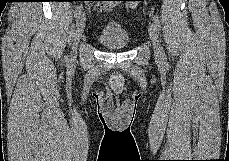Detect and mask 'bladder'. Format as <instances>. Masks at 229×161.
I'll list each match as a JSON object with an SVG mask.
<instances>
[{"label": "bladder", "mask_w": 229, "mask_h": 161, "mask_svg": "<svg viewBox=\"0 0 229 161\" xmlns=\"http://www.w3.org/2000/svg\"><path fill=\"white\" fill-rule=\"evenodd\" d=\"M98 41L108 50H121L129 45V37L122 25L114 19H109L104 24Z\"/></svg>", "instance_id": "31cf9c89"}]
</instances>
